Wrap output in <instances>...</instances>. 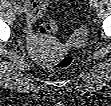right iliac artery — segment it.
<instances>
[{
    "label": "right iliac artery",
    "mask_w": 111,
    "mask_h": 106,
    "mask_svg": "<svg viewBox=\"0 0 111 106\" xmlns=\"http://www.w3.org/2000/svg\"><path fill=\"white\" fill-rule=\"evenodd\" d=\"M11 2H12L13 5H16V2H15V1L12 0Z\"/></svg>",
    "instance_id": "82829eb1"
}]
</instances>
